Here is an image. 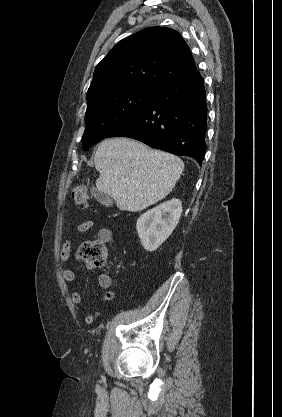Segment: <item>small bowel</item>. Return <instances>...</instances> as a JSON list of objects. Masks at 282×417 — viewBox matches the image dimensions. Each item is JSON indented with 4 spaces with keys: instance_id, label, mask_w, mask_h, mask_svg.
<instances>
[{
    "instance_id": "small-bowel-1",
    "label": "small bowel",
    "mask_w": 282,
    "mask_h": 417,
    "mask_svg": "<svg viewBox=\"0 0 282 417\" xmlns=\"http://www.w3.org/2000/svg\"><path fill=\"white\" fill-rule=\"evenodd\" d=\"M94 226H95V222L93 220L84 221L76 227L75 233L76 234L85 233L91 230L92 228H94ZM98 236L100 240L105 243H112L114 239L111 230L106 227H103L99 230ZM70 252H71V241L67 240L64 243L60 251V262L62 264V275L64 279L68 282H73L76 278L75 272L69 269L68 267H66V262L68 261L70 257ZM98 284L101 289L106 290V292L101 298V301L104 302V301L111 300L114 297V293L112 291H109V288L112 285L111 277L106 273L100 274L98 277ZM70 298H71V301L76 305H80L83 302L82 295L79 292H72ZM98 316H99V311L93 310L86 315L85 322L87 324H92L96 321Z\"/></svg>"
}]
</instances>
